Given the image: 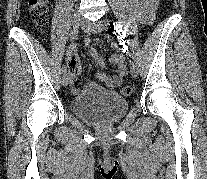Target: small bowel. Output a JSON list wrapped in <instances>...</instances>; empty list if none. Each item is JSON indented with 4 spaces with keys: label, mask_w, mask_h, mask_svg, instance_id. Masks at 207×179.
Listing matches in <instances>:
<instances>
[{
    "label": "small bowel",
    "mask_w": 207,
    "mask_h": 179,
    "mask_svg": "<svg viewBox=\"0 0 207 179\" xmlns=\"http://www.w3.org/2000/svg\"><path fill=\"white\" fill-rule=\"evenodd\" d=\"M157 5L158 0H128V6L132 10L133 14L137 20L144 25H150L153 22ZM111 48L117 50L109 58V62L116 68V73L114 75H110L105 71H99L97 74L98 79L108 90H113L114 88L118 87L122 83L123 77L127 73L125 52L123 48L116 43L112 44ZM89 53L96 66L101 69L105 68V62L95 48L90 47ZM73 65L78 71L80 64L77 57H73ZM69 78L70 82L74 83L76 80V72H71Z\"/></svg>",
    "instance_id": "1"
}]
</instances>
